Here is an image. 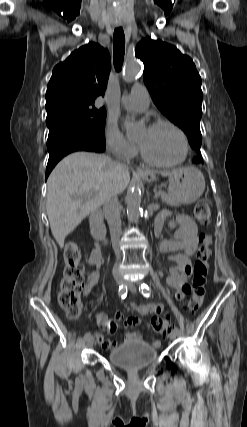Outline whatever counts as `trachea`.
Wrapping results in <instances>:
<instances>
[{
  "instance_id": "3493384b",
  "label": "trachea",
  "mask_w": 247,
  "mask_h": 427,
  "mask_svg": "<svg viewBox=\"0 0 247 427\" xmlns=\"http://www.w3.org/2000/svg\"><path fill=\"white\" fill-rule=\"evenodd\" d=\"M113 59L117 71L121 70L125 54V35L121 27L114 31Z\"/></svg>"
}]
</instances>
